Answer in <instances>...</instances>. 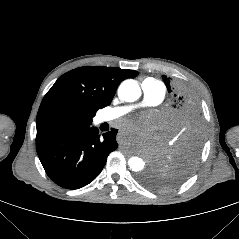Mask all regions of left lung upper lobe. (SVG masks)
<instances>
[{"label":"left lung upper lobe","instance_id":"obj_1","mask_svg":"<svg viewBox=\"0 0 239 239\" xmlns=\"http://www.w3.org/2000/svg\"><path fill=\"white\" fill-rule=\"evenodd\" d=\"M162 79L170 94L169 138L141 182L151 189L168 191L184 182L195 169L203 147L204 124L192 89L168 76L162 75Z\"/></svg>","mask_w":239,"mask_h":239}]
</instances>
